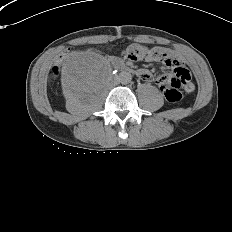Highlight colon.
Wrapping results in <instances>:
<instances>
[{"label":"colon","mask_w":232,"mask_h":232,"mask_svg":"<svg viewBox=\"0 0 232 232\" xmlns=\"http://www.w3.org/2000/svg\"><path fill=\"white\" fill-rule=\"evenodd\" d=\"M152 55L154 57H159V52L151 53L144 48L141 49H133L126 53V57L129 60L136 61L141 58ZM60 72V68L58 65L53 66L52 74L54 76H58ZM164 85L162 87V91L165 94V97L168 102L176 103L182 99V89H184L185 85L191 81L190 74L187 69H183L182 67H175L173 70V74L167 75L163 78ZM185 90V89H184Z\"/></svg>","instance_id":"obj_1"}]
</instances>
